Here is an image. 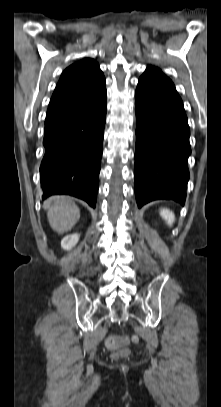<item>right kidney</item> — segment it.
I'll use <instances>...</instances> for the list:
<instances>
[{
  "label": "right kidney",
  "mask_w": 221,
  "mask_h": 407,
  "mask_svg": "<svg viewBox=\"0 0 221 407\" xmlns=\"http://www.w3.org/2000/svg\"><path fill=\"white\" fill-rule=\"evenodd\" d=\"M79 240V234H70L65 236L61 241V247L65 250H70Z\"/></svg>",
  "instance_id": "1"
}]
</instances>
